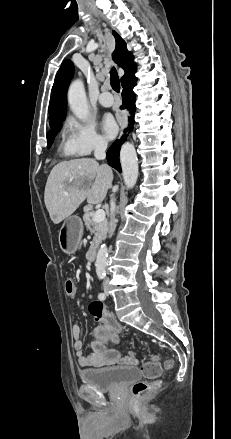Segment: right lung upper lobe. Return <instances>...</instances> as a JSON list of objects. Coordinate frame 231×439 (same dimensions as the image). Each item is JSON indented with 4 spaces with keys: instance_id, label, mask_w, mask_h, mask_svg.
<instances>
[{
    "instance_id": "cb5924a9",
    "label": "right lung upper lobe",
    "mask_w": 231,
    "mask_h": 439,
    "mask_svg": "<svg viewBox=\"0 0 231 439\" xmlns=\"http://www.w3.org/2000/svg\"><path fill=\"white\" fill-rule=\"evenodd\" d=\"M116 39V48L112 54L113 60L125 70L121 83L124 84L128 80L135 78L136 64L134 63L131 52L127 50L125 41L113 32ZM74 66L70 60H65L58 70L51 91L49 104L50 127L61 124L66 115V94L73 76Z\"/></svg>"
}]
</instances>
